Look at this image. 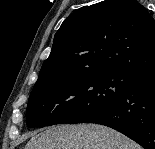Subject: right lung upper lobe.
Returning a JSON list of instances; mask_svg holds the SVG:
<instances>
[{
    "label": "right lung upper lobe",
    "instance_id": "right-lung-upper-lobe-1",
    "mask_svg": "<svg viewBox=\"0 0 155 149\" xmlns=\"http://www.w3.org/2000/svg\"><path fill=\"white\" fill-rule=\"evenodd\" d=\"M90 71H155V20L143 5L105 0L76 10L55 34L37 82Z\"/></svg>",
    "mask_w": 155,
    "mask_h": 149
}]
</instances>
